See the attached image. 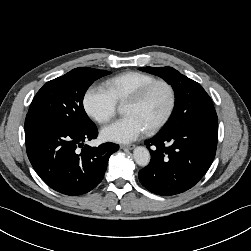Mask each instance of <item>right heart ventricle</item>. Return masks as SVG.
Masks as SVG:
<instances>
[{"label":"right heart ventricle","instance_id":"e07e8e85","mask_svg":"<svg viewBox=\"0 0 251 251\" xmlns=\"http://www.w3.org/2000/svg\"><path fill=\"white\" fill-rule=\"evenodd\" d=\"M156 77L139 71H127L106 81V87L117 104H125L140 88Z\"/></svg>","mask_w":251,"mask_h":251}]
</instances>
